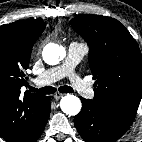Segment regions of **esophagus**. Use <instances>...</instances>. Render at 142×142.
<instances>
[{"label": "esophagus", "instance_id": "obj_1", "mask_svg": "<svg viewBox=\"0 0 142 142\" xmlns=\"http://www.w3.org/2000/svg\"><path fill=\"white\" fill-rule=\"evenodd\" d=\"M63 96H64L63 93H56V94L54 95V99H55V100H59V99L62 98Z\"/></svg>", "mask_w": 142, "mask_h": 142}]
</instances>
